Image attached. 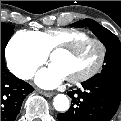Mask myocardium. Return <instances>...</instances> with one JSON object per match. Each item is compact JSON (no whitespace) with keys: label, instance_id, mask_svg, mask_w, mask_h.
Segmentation results:
<instances>
[{"label":"myocardium","instance_id":"f54148a6","mask_svg":"<svg viewBox=\"0 0 121 121\" xmlns=\"http://www.w3.org/2000/svg\"><path fill=\"white\" fill-rule=\"evenodd\" d=\"M87 44H95L98 46L99 48L98 60L91 68H89L87 71L83 72L82 74L75 77L67 78L66 80L71 84H78L85 82L96 76L102 70L103 66L105 65L107 57V47L104 41L98 37H86L70 45H58L49 52V60L51 61L52 56L58 52H64L72 55L76 50L86 46Z\"/></svg>","mask_w":121,"mask_h":121}]
</instances>
